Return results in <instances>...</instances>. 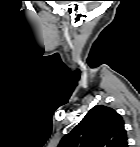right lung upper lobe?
Here are the masks:
<instances>
[{"mask_svg":"<svg viewBox=\"0 0 140 147\" xmlns=\"http://www.w3.org/2000/svg\"><path fill=\"white\" fill-rule=\"evenodd\" d=\"M58 147H127L124 121L114 109L94 106Z\"/></svg>","mask_w":140,"mask_h":147,"instance_id":"right-lung-upper-lobe-1","label":"right lung upper lobe"}]
</instances>
